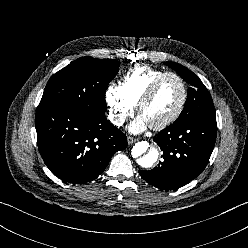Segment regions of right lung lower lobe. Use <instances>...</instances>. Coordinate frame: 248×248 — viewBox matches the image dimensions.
I'll return each instance as SVG.
<instances>
[{
  "label": "right lung lower lobe",
  "instance_id": "right-lung-lower-lobe-1",
  "mask_svg": "<svg viewBox=\"0 0 248 248\" xmlns=\"http://www.w3.org/2000/svg\"><path fill=\"white\" fill-rule=\"evenodd\" d=\"M35 125L45 164L55 176L73 184L97 178L112 155L127 147L126 135L104 114L44 105L37 108Z\"/></svg>",
  "mask_w": 248,
  "mask_h": 248
}]
</instances>
